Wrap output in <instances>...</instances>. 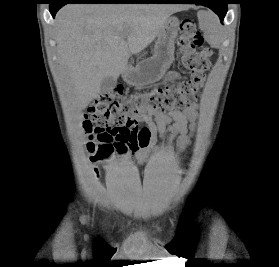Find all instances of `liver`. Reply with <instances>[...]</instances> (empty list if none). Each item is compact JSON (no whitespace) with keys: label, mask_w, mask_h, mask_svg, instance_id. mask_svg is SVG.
Wrapping results in <instances>:
<instances>
[{"label":"liver","mask_w":279,"mask_h":267,"mask_svg":"<svg viewBox=\"0 0 279 267\" xmlns=\"http://www.w3.org/2000/svg\"><path fill=\"white\" fill-rule=\"evenodd\" d=\"M182 9L171 4H69L56 16V40L67 68L75 105L86 108L100 93L105 77L116 79L130 55L159 35L169 16Z\"/></svg>","instance_id":"liver-1"}]
</instances>
